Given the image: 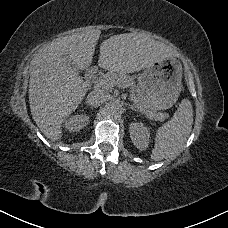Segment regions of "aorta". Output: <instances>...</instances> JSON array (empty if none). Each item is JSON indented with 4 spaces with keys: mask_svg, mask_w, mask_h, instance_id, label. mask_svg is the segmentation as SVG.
Listing matches in <instances>:
<instances>
[{
    "mask_svg": "<svg viewBox=\"0 0 228 228\" xmlns=\"http://www.w3.org/2000/svg\"><path fill=\"white\" fill-rule=\"evenodd\" d=\"M122 106L119 103L113 102L108 105V114L110 115H117L121 113Z\"/></svg>",
    "mask_w": 228,
    "mask_h": 228,
    "instance_id": "aorta-1",
    "label": "aorta"
}]
</instances>
